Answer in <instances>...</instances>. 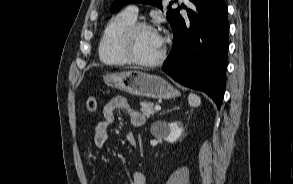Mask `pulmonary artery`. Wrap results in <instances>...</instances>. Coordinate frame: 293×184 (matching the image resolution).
I'll return each instance as SVG.
<instances>
[{"mask_svg":"<svg viewBox=\"0 0 293 184\" xmlns=\"http://www.w3.org/2000/svg\"><path fill=\"white\" fill-rule=\"evenodd\" d=\"M125 12L131 15L132 17L137 18L138 8L136 5H130L126 8Z\"/></svg>","mask_w":293,"mask_h":184,"instance_id":"e3ab8cb5","label":"pulmonary artery"}]
</instances>
